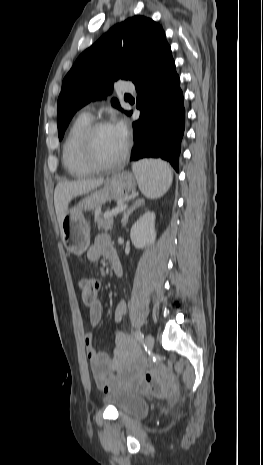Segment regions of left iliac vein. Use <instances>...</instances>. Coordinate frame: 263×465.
Returning a JSON list of instances; mask_svg holds the SVG:
<instances>
[{"mask_svg": "<svg viewBox=\"0 0 263 465\" xmlns=\"http://www.w3.org/2000/svg\"><path fill=\"white\" fill-rule=\"evenodd\" d=\"M154 346V337L151 334H147L145 337V347L147 351H151Z\"/></svg>", "mask_w": 263, "mask_h": 465, "instance_id": "obj_1", "label": "left iliac vein"}]
</instances>
